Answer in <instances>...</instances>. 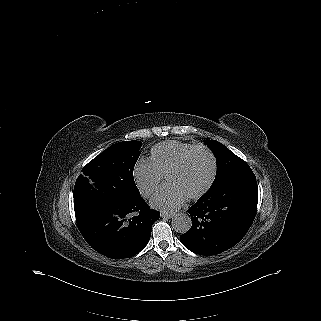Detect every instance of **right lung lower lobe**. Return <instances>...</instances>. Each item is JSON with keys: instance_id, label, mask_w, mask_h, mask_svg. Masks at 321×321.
Segmentation results:
<instances>
[{"instance_id": "1", "label": "right lung lower lobe", "mask_w": 321, "mask_h": 321, "mask_svg": "<svg viewBox=\"0 0 321 321\" xmlns=\"http://www.w3.org/2000/svg\"><path fill=\"white\" fill-rule=\"evenodd\" d=\"M74 209L78 228L87 243L112 259L140 252L150 239L153 223L160 217L141 197L129 203L104 202Z\"/></svg>"}]
</instances>
